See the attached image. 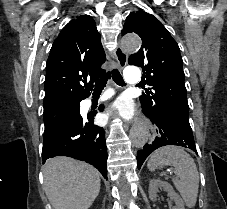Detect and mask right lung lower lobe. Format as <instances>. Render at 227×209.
<instances>
[{
  "label": "right lung lower lobe",
  "instance_id": "right-lung-lower-lobe-1",
  "mask_svg": "<svg viewBox=\"0 0 227 209\" xmlns=\"http://www.w3.org/2000/svg\"><path fill=\"white\" fill-rule=\"evenodd\" d=\"M103 109L101 105L99 110ZM93 122V115L83 120L78 108L76 114L45 131L43 163L50 157L68 156L92 164L107 178L105 131Z\"/></svg>",
  "mask_w": 227,
  "mask_h": 209
}]
</instances>
